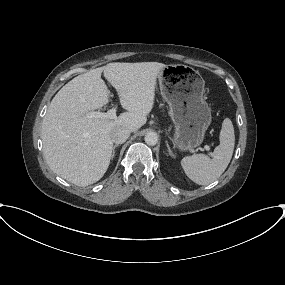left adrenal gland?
I'll list each match as a JSON object with an SVG mask.
<instances>
[{
  "mask_svg": "<svg viewBox=\"0 0 285 285\" xmlns=\"http://www.w3.org/2000/svg\"><path fill=\"white\" fill-rule=\"evenodd\" d=\"M166 146H167V148H168L169 155H170V156H174V155H173V152L171 151V149H170L169 144H168L167 141H166Z\"/></svg>",
  "mask_w": 285,
  "mask_h": 285,
  "instance_id": "a2214340",
  "label": "left adrenal gland"
}]
</instances>
